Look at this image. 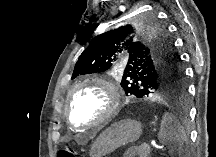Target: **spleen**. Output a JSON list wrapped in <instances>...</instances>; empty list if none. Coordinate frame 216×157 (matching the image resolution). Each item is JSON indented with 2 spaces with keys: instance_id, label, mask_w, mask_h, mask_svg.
Segmentation results:
<instances>
[{
  "instance_id": "spleen-1",
  "label": "spleen",
  "mask_w": 216,
  "mask_h": 157,
  "mask_svg": "<svg viewBox=\"0 0 216 157\" xmlns=\"http://www.w3.org/2000/svg\"><path fill=\"white\" fill-rule=\"evenodd\" d=\"M158 139L162 145H165L171 153L178 155L185 154V143H188V137L184 127L171 113L163 115Z\"/></svg>"
}]
</instances>
